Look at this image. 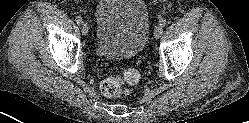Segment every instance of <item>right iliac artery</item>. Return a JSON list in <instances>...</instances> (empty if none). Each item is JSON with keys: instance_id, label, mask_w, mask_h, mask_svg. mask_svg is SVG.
Wrapping results in <instances>:
<instances>
[{"instance_id": "obj_1", "label": "right iliac artery", "mask_w": 249, "mask_h": 123, "mask_svg": "<svg viewBox=\"0 0 249 123\" xmlns=\"http://www.w3.org/2000/svg\"><path fill=\"white\" fill-rule=\"evenodd\" d=\"M75 21H76L77 24H81V23L83 22V19H82L81 16H77V17L75 18Z\"/></svg>"}]
</instances>
